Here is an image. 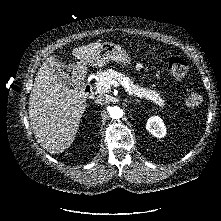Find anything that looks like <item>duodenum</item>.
Listing matches in <instances>:
<instances>
[{"instance_id": "obj_1", "label": "duodenum", "mask_w": 221, "mask_h": 221, "mask_svg": "<svg viewBox=\"0 0 221 221\" xmlns=\"http://www.w3.org/2000/svg\"><path fill=\"white\" fill-rule=\"evenodd\" d=\"M85 94L87 97H90V98L93 96V88L91 85H87L85 87Z\"/></svg>"}]
</instances>
